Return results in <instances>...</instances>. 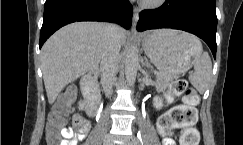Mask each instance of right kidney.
<instances>
[{
	"mask_svg": "<svg viewBox=\"0 0 243 145\" xmlns=\"http://www.w3.org/2000/svg\"><path fill=\"white\" fill-rule=\"evenodd\" d=\"M84 106H85V104H84V102H79V110H83L84 109Z\"/></svg>",
	"mask_w": 243,
	"mask_h": 145,
	"instance_id": "ca27d5eb",
	"label": "right kidney"
}]
</instances>
